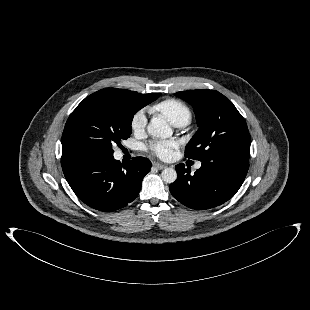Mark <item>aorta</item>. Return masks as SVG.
Returning <instances> with one entry per match:
<instances>
[{
    "instance_id": "1",
    "label": "aorta",
    "mask_w": 310,
    "mask_h": 310,
    "mask_svg": "<svg viewBox=\"0 0 310 310\" xmlns=\"http://www.w3.org/2000/svg\"><path fill=\"white\" fill-rule=\"evenodd\" d=\"M148 134L155 138H169L173 131L163 118H152L147 127ZM162 180L166 183H173L177 178V173L173 168H165L161 174Z\"/></svg>"
}]
</instances>
